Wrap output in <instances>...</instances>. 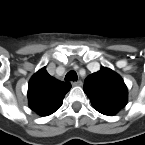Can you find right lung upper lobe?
<instances>
[{
    "label": "right lung upper lobe",
    "instance_id": "obj_1",
    "mask_svg": "<svg viewBox=\"0 0 145 145\" xmlns=\"http://www.w3.org/2000/svg\"><path fill=\"white\" fill-rule=\"evenodd\" d=\"M70 88L69 82L58 81L43 67L29 81V107L41 116H48L59 109Z\"/></svg>",
    "mask_w": 145,
    "mask_h": 145
}]
</instances>
